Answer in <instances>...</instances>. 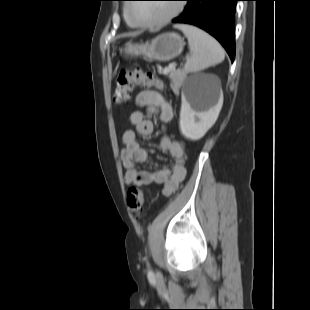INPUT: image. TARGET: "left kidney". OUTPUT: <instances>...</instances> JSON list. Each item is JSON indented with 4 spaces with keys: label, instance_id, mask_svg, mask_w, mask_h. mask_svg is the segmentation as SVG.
I'll use <instances>...</instances> for the list:
<instances>
[{
    "label": "left kidney",
    "instance_id": "1",
    "mask_svg": "<svg viewBox=\"0 0 310 310\" xmlns=\"http://www.w3.org/2000/svg\"><path fill=\"white\" fill-rule=\"evenodd\" d=\"M222 103L209 109L198 108L188 93L182 95L179 126L184 137L190 140L201 139L215 124Z\"/></svg>",
    "mask_w": 310,
    "mask_h": 310
}]
</instances>
